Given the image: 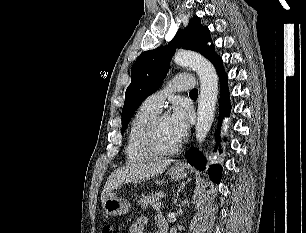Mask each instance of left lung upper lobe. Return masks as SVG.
<instances>
[{"instance_id": "obj_1", "label": "left lung upper lobe", "mask_w": 306, "mask_h": 233, "mask_svg": "<svg viewBox=\"0 0 306 233\" xmlns=\"http://www.w3.org/2000/svg\"><path fill=\"white\" fill-rule=\"evenodd\" d=\"M211 40L207 26L201 19L194 16L185 30L179 29L175 37L165 47L143 52L131 68V83L126 89L125 102L122 110V133L138 106L162 84L169 70V60L176 48L181 45L201 53L211 62L218 55L214 53V45L207 46Z\"/></svg>"}]
</instances>
